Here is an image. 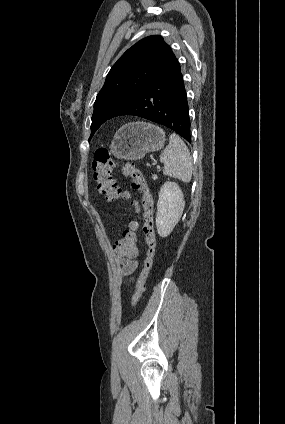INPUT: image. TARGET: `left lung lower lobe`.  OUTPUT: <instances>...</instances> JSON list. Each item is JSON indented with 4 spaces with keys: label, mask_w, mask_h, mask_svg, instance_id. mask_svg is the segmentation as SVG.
<instances>
[{
    "label": "left lung lower lobe",
    "mask_w": 285,
    "mask_h": 424,
    "mask_svg": "<svg viewBox=\"0 0 285 424\" xmlns=\"http://www.w3.org/2000/svg\"><path fill=\"white\" fill-rule=\"evenodd\" d=\"M124 115L138 116L164 125L191 142L187 95L180 64L174 54L159 76L109 119Z\"/></svg>",
    "instance_id": "1"
}]
</instances>
